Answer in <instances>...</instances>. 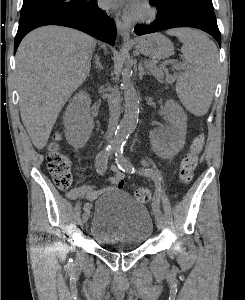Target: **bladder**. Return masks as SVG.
Masks as SVG:
<instances>
[{
  "label": "bladder",
  "mask_w": 245,
  "mask_h": 300,
  "mask_svg": "<svg viewBox=\"0 0 245 300\" xmlns=\"http://www.w3.org/2000/svg\"><path fill=\"white\" fill-rule=\"evenodd\" d=\"M153 231L146 206L121 190L107 191L96 200L88 228L98 245L119 251L140 248Z\"/></svg>",
  "instance_id": "bladder-1"
}]
</instances>
